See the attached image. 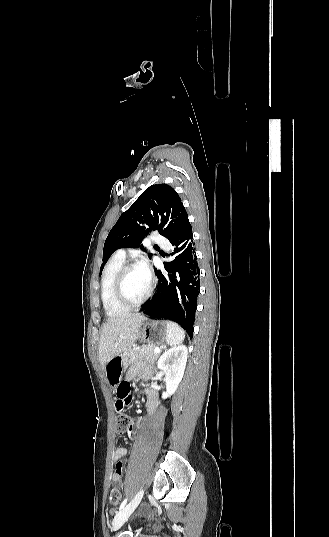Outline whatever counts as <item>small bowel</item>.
I'll list each match as a JSON object with an SVG mask.
<instances>
[{"label":"small bowel","mask_w":329,"mask_h":537,"mask_svg":"<svg viewBox=\"0 0 329 537\" xmlns=\"http://www.w3.org/2000/svg\"><path fill=\"white\" fill-rule=\"evenodd\" d=\"M132 376V374H130ZM132 381L130 378L125 377L122 379V381H119L117 384L116 389V401H115V409L119 412H122L125 410L126 405H131L133 403V398L135 396L134 391L131 389ZM147 410L149 414H152L158 404V397L157 393L153 389H147ZM136 434V429L134 426L130 428L129 431V437L133 439ZM127 454V449L124 447H118L115 449L113 454V460L115 461V469L111 475L112 482L118 486L121 487L123 485V468H124V462L123 458Z\"/></svg>","instance_id":"1"}]
</instances>
